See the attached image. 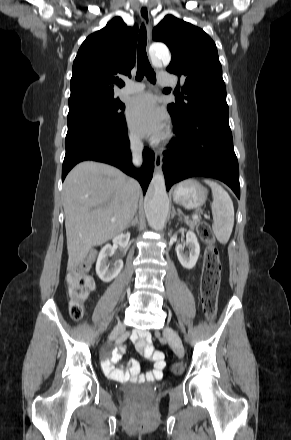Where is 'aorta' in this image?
Returning <instances> with one entry per match:
<instances>
[{
  "mask_svg": "<svg viewBox=\"0 0 291 440\" xmlns=\"http://www.w3.org/2000/svg\"><path fill=\"white\" fill-rule=\"evenodd\" d=\"M150 55L168 65L171 55L163 44H153L149 49ZM144 210L149 225L156 231L165 226L169 210V199L166 192L165 179L162 172L155 173L145 197Z\"/></svg>",
  "mask_w": 291,
  "mask_h": 440,
  "instance_id": "1",
  "label": "aorta"
}]
</instances>
